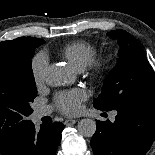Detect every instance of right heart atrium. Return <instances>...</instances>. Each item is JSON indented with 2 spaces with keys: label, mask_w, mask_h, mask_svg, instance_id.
Returning a JSON list of instances; mask_svg holds the SVG:
<instances>
[{
  "label": "right heart atrium",
  "mask_w": 155,
  "mask_h": 155,
  "mask_svg": "<svg viewBox=\"0 0 155 155\" xmlns=\"http://www.w3.org/2000/svg\"><path fill=\"white\" fill-rule=\"evenodd\" d=\"M48 66V56L41 52L38 53L32 60L31 72L33 79L37 85L43 83Z\"/></svg>",
  "instance_id": "1"
}]
</instances>
